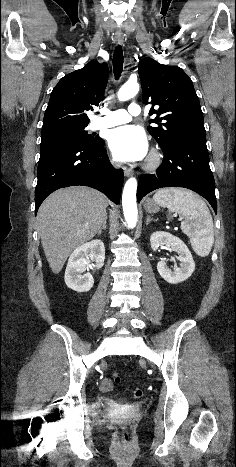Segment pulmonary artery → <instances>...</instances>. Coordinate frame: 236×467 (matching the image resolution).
Segmentation results:
<instances>
[{
  "label": "pulmonary artery",
  "mask_w": 236,
  "mask_h": 467,
  "mask_svg": "<svg viewBox=\"0 0 236 467\" xmlns=\"http://www.w3.org/2000/svg\"><path fill=\"white\" fill-rule=\"evenodd\" d=\"M140 113V106L137 103H132L128 110L118 109L103 112L104 116L94 119L91 127L94 130L113 127L131 121L132 117L138 116Z\"/></svg>",
  "instance_id": "pulmonary-artery-1"
}]
</instances>
